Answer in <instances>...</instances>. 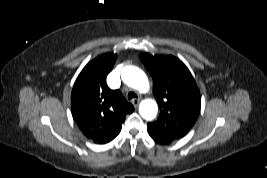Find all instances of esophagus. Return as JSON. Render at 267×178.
<instances>
[{
  "label": "esophagus",
  "mask_w": 267,
  "mask_h": 178,
  "mask_svg": "<svg viewBox=\"0 0 267 178\" xmlns=\"http://www.w3.org/2000/svg\"><path fill=\"white\" fill-rule=\"evenodd\" d=\"M139 103H140V99L138 98V99H132V104L135 106V107H137L138 105H139Z\"/></svg>",
  "instance_id": "34e87169"
}]
</instances>
